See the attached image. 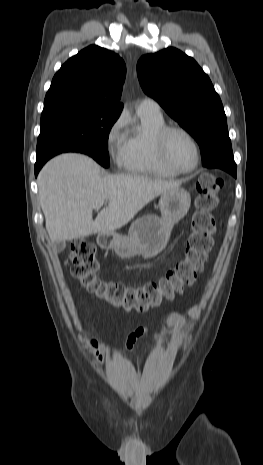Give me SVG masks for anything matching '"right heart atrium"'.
<instances>
[{
	"label": "right heart atrium",
	"mask_w": 263,
	"mask_h": 465,
	"mask_svg": "<svg viewBox=\"0 0 263 465\" xmlns=\"http://www.w3.org/2000/svg\"><path fill=\"white\" fill-rule=\"evenodd\" d=\"M126 121L124 116L117 117L109 126L105 136L108 156L117 166H123L126 150Z\"/></svg>",
	"instance_id": "right-heart-atrium-1"
}]
</instances>
